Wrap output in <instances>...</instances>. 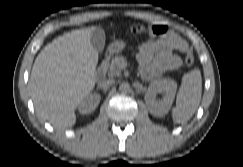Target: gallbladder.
<instances>
[{
	"mask_svg": "<svg viewBox=\"0 0 243 167\" xmlns=\"http://www.w3.org/2000/svg\"><path fill=\"white\" fill-rule=\"evenodd\" d=\"M91 44L97 53H100L105 45V33L100 27H95L91 33Z\"/></svg>",
	"mask_w": 243,
	"mask_h": 167,
	"instance_id": "1",
	"label": "gallbladder"
}]
</instances>
